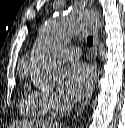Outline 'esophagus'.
<instances>
[{
  "label": "esophagus",
  "mask_w": 125,
  "mask_h": 128,
  "mask_svg": "<svg viewBox=\"0 0 125 128\" xmlns=\"http://www.w3.org/2000/svg\"><path fill=\"white\" fill-rule=\"evenodd\" d=\"M92 31V35H93V46H92V53H93V57H94V61H93V66H94V80H93V84L92 87L90 89L89 94L87 95V97L83 100V102L81 103V105L78 108V112L79 113L81 110H83L85 108V106L88 104L90 97L94 91L95 85H96V81H97V57H98V31L97 28L95 26L92 27L91 29Z\"/></svg>",
  "instance_id": "esophagus-1"
}]
</instances>
